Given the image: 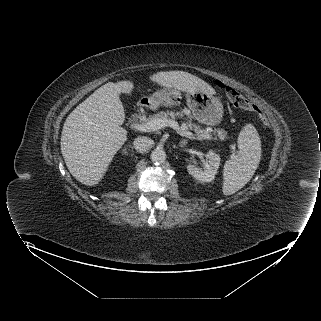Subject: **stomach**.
<instances>
[{
  "instance_id": "1",
  "label": "stomach",
  "mask_w": 321,
  "mask_h": 321,
  "mask_svg": "<svg viewBox=\"0 0 321 321\" xmlns=\"http://www.w3.org/2000/svg\"><path fill=\"white\" fill-rule=\"evenodd\" d=\"M187 106L194 119L208 126L218 125L223 117V105L213 94L203 91L186 92ZM182 98V91L173 88H162L146 97L147 104L156 109L160 105L172 107Z\"/></svg>"
}]
</instances>
